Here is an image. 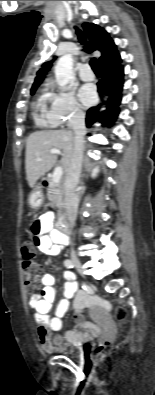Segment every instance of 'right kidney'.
Wrapping results in <instances>:
<instances>
[{
  "mask_svg": "<svg viewBox=\"0 0 155 395\" xmlns=\"http://www.w3.org/2000/svg\"><path fill=\"white\" fill-rule=\"evenodd\" d=\"M98 172H99V168H98V167L94 168L93 171H92V175H91V176H92L93 178L96 177L97 174H98Z\"/></svg>",
  "mask_w": 155,
  "mask_h": 395,
  "instance_id": "obj_1",
  "label": "right kidney"
}]
</instances>
